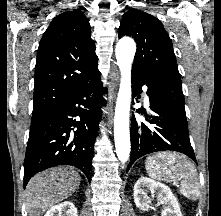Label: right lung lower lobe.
I'll use <instances>...</instances> for the list:
<instances>
[{
    "label": "right lung lower lobe",
    "instance_id": "98d812e1",
    "mask_svg": "<svg viewBox=\"0 0 221 216\" xmlns=\"http://www.w3.org/2000/svg\"><path fill=\"white\" fill-rule=\"evenodd\" d=\"M105 92L99 76L38 115L27 143L24 187L36 173L65 164L79 168L91 181V160Z\"/></svg>",
    "mask_w": 221,
    "mask_h": 216
}]
</instances>
